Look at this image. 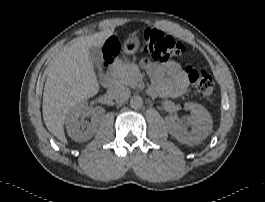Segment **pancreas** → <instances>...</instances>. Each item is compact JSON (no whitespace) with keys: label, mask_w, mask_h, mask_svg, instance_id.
Segmentation results:
<instances>
[{"label":"pancreas","mask_w":265,"mask_h":202,"mask_svg":"<svg viewBox=\"0 0 265 202\" xmlns=\"http://www.w3.org/2000/svg\"><path fill=\"white\" fill-rule=\"evenodd\" d=\"M113 73L119 83L132 88L137 86L140 71L136 64L117 61L113 66Z\"/></svg>","instance_id":"1"}]
</instances>
